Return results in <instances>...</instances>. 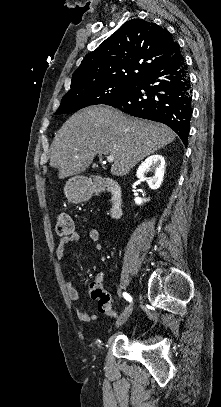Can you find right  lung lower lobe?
<instances>
[{
	"label": "right lung lower lobe",
	"instance_id": "obj_1",
	"mask_svg": "<svg viewBox=\"0 0 221 407\" xmlns=\"http://www.w3.org/2000/svg\"><path fill=\"white\" fill-rule=\"evenodd\" d=\"M106 105L135 117L166 124L187 146L192 94L187 64L180 47L169 59L145 73L127 94Z\"/></svg>",
	"mask_w": 221,
	"mask_h": 407
}]
</instances>
